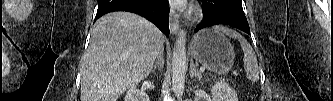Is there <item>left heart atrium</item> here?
<instances>
[{"label": "left heart atrium", "instance_id": "left-heart-atrium-1", "mask_svg": "<svg viewBox=\"0 0 333 101\" xmlns=\"http://www.w3.org/2000/svg\"><path fill=\"white\" fill-rule=\"evenodd\" d=\"M172 3L176 7H182L186 3V1H184V0H174Z\"/></svg>", "mask_w": 333, "mask_h": 101}]
</instances>
